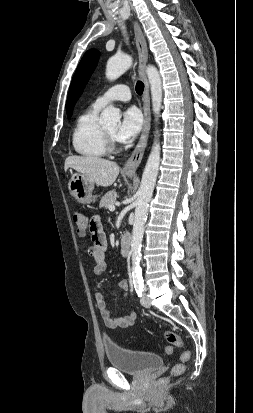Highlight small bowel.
I'll use <instances>...</instances> for the list:
<instances>
[{"instance_id": "small-bowel-1", "label": "small bowel", "mask_w": 253, "mask_h": 413, "mask_svg": "<svg viewBox=\"0 0 253 413\" xmlns=\"http://www.w3.org/2000/svg\"><path fill=\"white\" fill-rule=\"evenodd\" d=\"M89 231L91 233L93 245L89 248L88 253L94 260V273L100 276L104 274L107 269V263L105 260L107 240L99 216H94L91 218L89 222ZM118 287L126 291L129 288V284L127 280L123 279L118 282ZM94 300L104 324L108 328H128L135 324L137 320V314L135 311H131L126 316L113 317L111 316L108 303L102 292L96 291L94 293Z\"/></svg>"}]
</instances>
